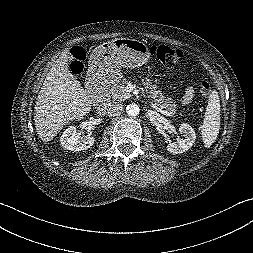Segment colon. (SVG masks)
Instances as JSON below:
<instances>
[{"label":"colon","mask_w":253,"mask_h":253,"mask_svg":"<svg viewBox=\"0 0 253 253\" xmlns=\"http://www.w3.org/2000/svg\"><path fill=\"white\" fill-rule=\"evenodd\" d=\"M150 54L159 60L162 64L168 67L177 65L182 58V51L177 48H172L166 45H152ZM86 57V51L81 46H75L71 51L70 69L74 74L83 72V61ZM212 88L207 81H202L199 85V93L201 97L207 98L210 96Z\"/></svg>","instance_id":"5ec220e1"}]
</instances>
